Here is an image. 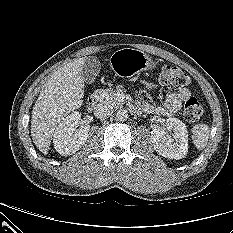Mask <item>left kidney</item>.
Masks as SVG:
<instances>
[{
    "instance_id": "1",
    "label": "left kidney",
    "mask_w": 233,
    "mask_h": 233,
    "mask_svg": "<svg viewBox=\"0 0 233 233\" xmlns=\"http://www.w3.org/2000/svg\"><path fill=\"white\" fill-rule=\"evenodd\" d=\"M166 128L174 133L169 135L162 127L151 131V139L156 152L166 158L182 159L188 152V131L186 125L177 118H168Z\"/></svg>"
}]
</instances>
